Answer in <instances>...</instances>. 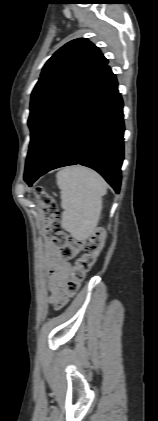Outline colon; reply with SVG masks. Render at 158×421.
<instances>
[{
	"instance_id": "obj_1",
	"label": "colon",
	"mask_w": 158,
	"mask_h": 421,
	"mask_svg": "<svg viewBox=\"0 0 158 421\" xmlns=\"http://www.w3.org/2000/svg\"><path fill=\"white\" fill-rule=\"evenodd\" d=\"M35 192L46 223L45 234L59 250L61 259L69 261L75 256L78 250L84 252L71 268L69 279L65 285L66 295L57 304V308H61L78 292L86 273L94 265L104 246L106 232L102 228H95L84 237L77 238L68 235L62 229L56 200L40 187Z\"/></svg>"
}]
</instances>
